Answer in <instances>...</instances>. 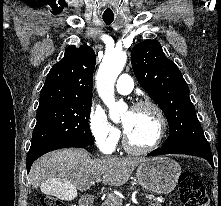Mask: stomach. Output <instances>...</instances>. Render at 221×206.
Instances as JSON below:
<instances>
[{
    "instance_id": "0dacf381",
    "label": "stomach",
    "mask_w": 221,
    "mask_h": 206,
    "mask_svg": "<svg viewBox=\"0 0 221 206\" xmlns=\"http://www.w3.org/2000/svg\"><path fill=\"white\" fill-rule=\"evenodd\" d=\"M180 174L179 164L167 157L146 159L139 164L136 170L138 183L143 188L160 194L171 192L176 186Z\"/></svg>"
}]
</instances>
